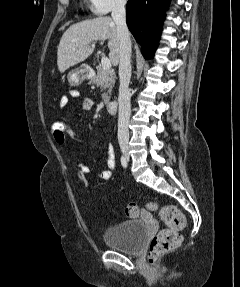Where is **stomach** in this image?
Returning a JSON list of instances; mask_svg holds the SVG:
<instances>
[{"label": "stomach", "instance_id": "obj_1", "mask_svg": "<svg viewBox=\"0 0 240 287\" xmlns=\"http://www.w3.org/2000/svg\"><path fill=\"white\" fill-rule=\"evenodd\" d=\"M89 76V68L85 65L71 71L68 74V81L71 85H79L83 80Z\"/></svg>", "mask_w": 240, "mask_h": 287}]
</instances>
